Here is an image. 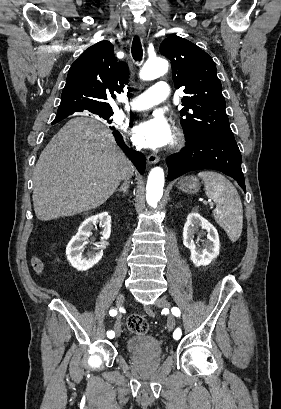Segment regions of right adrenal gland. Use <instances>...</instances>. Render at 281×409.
I'll use <instances>...</instances> for the list:
<instances>
[{
  "label": "right adrenal gland",
  "mask_w": 281,
  "mask_h": 409,
  "mask_svg": "<svg viewBox=\"0 0 281 409\" xmlns=\"http://www.w3.org/2000/svg\"><path fill=\"white\" fill-rule=\"evenodd\" d=\"M129 188V180H124L122 186L120 188H117V190H121V192H128Z\"/></svg>",
  "instance_id": "right-adrenal-gland-1"
}]
</instances>
